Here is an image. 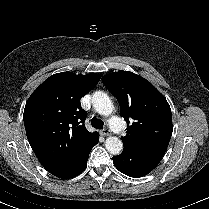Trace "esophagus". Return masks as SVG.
Listing matches in <instances>:
<instances>
[{"label": "esophagus", "instance_id": "obj_1", "mask_svg": "<svg viewBox=\"0 0 209 209\" xmlns=\"http://www.w3.org/2000/svg\"><path fill=\"white\" fill-rule=\"evenodd\" d=\"M110 131L107 128H104L101 130V135L102 136H109Z\"/></svg>", "mask_w": 209, "mask_h": 209}]
</instances>
